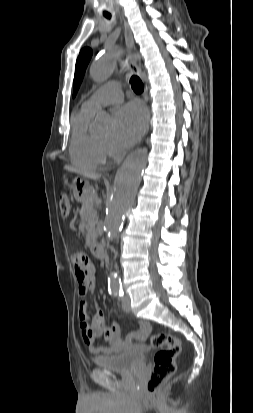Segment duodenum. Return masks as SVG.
<instances>
[{
  "label": "duodenum",
  "instance_id": "410a0bca",
  "mask_svg": "<svg viewBox=\"0 0 253 413\" xmlns=\"http://www.w3.org/2000/svg\"><path fill=\"white\" fill-rule=\"evenodd\" d=\"M91 252L94 257L102 259L105 256L104 248L100 244H95L91 246Z\"/></svg>",
  "mask_w": 253,
  "mask_h": 413
}]
</instances>
